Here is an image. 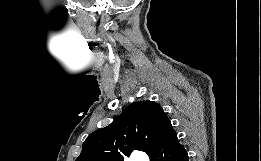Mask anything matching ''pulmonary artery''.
<instances>
[{"instance_id": "1", "label": "pulmonary artery", "mask_w": 261, "mask_h": 161, "mask_svg": "<svg viewBox=\"0 0 261 161\" xmlns=\"http://www.w3.org/2000/svg\"><path fill=\"white\" fill-rule=\"evenodd\" d=\"M137 161H148V158L146 156H140Z\"/></svg>"}]
</instances>
